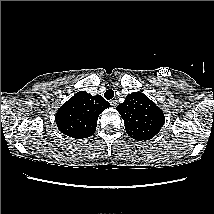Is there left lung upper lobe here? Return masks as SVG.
<instances>
[{"instance_id": "1", "label": "left lung upper lobe", "mask_w": 214, "mask_h": 214, "mask_svg": "<svg viewBox=\"0 0 214 214\" xmlns=\"http://www.w3.org/2000/svg\"><path fill=\"white\" fill-rule=\"evenodd\" d=\"M116 109L124 119L126 132L135 140L153 138L165 122L162 110L141 92L128 94Z\"/></svg>"}]
</instances>
